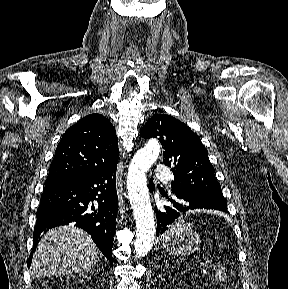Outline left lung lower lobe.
Listing matches in <instances>:
<instances>
[{"instance_id":"left-lung-lower-lobe-1","label":"left lung lower lobe","mask_w":288,"mask_h":289,"mask_svg":"<svg viewBox=\"0 0 288 289\" xmlns=\"http://www.w3.org/2000/svg\"><path fill=\"white\" fill-rule=\"evenodd\" d=\"M153 178L150 180L149 190L155 189ZM176 200H171V206H165L163 211L156 209L157 216V234H162L167 227L172 224L184 212L194 209H213L217 211L227 212V207L210 199L194 194L174 193Z\"/></svg>"}]
</instances>
